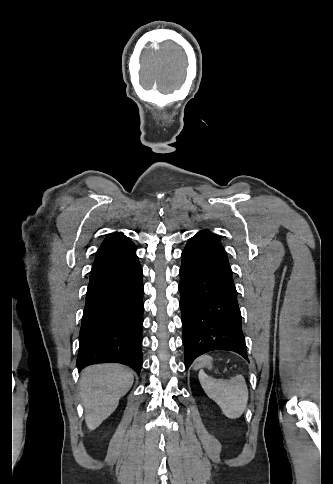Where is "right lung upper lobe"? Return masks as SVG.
Wrapping results in <instances>:
<instances>
[{"instance_id":"right-lung-upper-lobe-1","label":"right lung upper lobe","mask_w":333,"mask_h":484,"mask_svg":"<svg viewBox=\"0 0 333 484\" xmlns=\"http://www.w3.org/2000/svg\"><path fill=\"white\" fill-rule=\"evenodd\" d=\"M132 244L133 242L128 240V238L123 233L114 232L109 234L104 239L97 253L112 250V249L127 247Z\"/></svg>"}]
</instances>
